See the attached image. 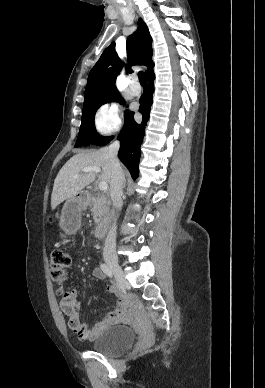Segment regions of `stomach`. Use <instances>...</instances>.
Segmentation results:
<instances>
[{
    "mask_svg": "<svg viewBox=\"0 0 265 388\" xmlns=\"http://www.w3.org/2000/svg\"><path fill=\"white\" fill-rule=\"evenodd\" d=\"M82 200L80 198H70L63 206L60 226L68 234L74 233L80 224Z\"/></svg>",
    "mask_w": 265,
    "mask_h": 388,
    "instance_id": "1",
    "label": "stomach"
}]
</instances>
